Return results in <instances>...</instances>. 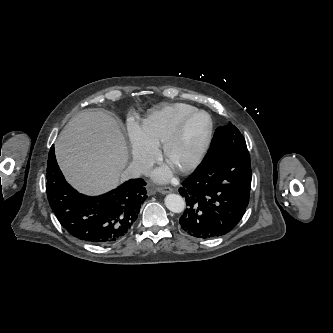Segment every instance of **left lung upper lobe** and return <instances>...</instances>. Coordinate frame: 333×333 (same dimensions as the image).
<instances>
[{"label":"left lung upper lobe","instance_id":"left-lung-upper-lobe-1","mask_svg":"<svg viewBox=\"0 0 333 333\" xmlns=\"http://www.w3.org/2000/svg\"><path fill=\"white\" fill-rule=\"evenodd\" d=\"M228 126L233 127L231 123ZM246 142L242 134L237 133L218 144L210 153L222 157L232 156L237 150L246 148Z\"/></svg>","mask_w":333,"mask_h":333}]
</instances>
